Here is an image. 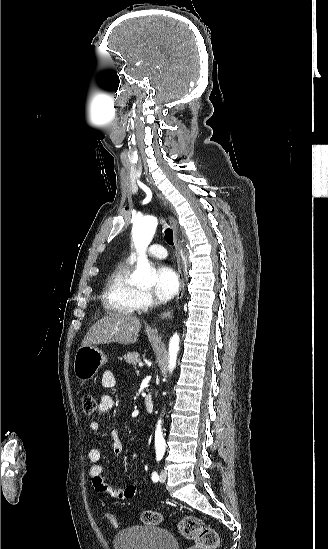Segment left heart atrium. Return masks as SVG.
<instances>
[{"label": "left heart atrium", "instance_id": "obj_1", "mask_svg": "<svg viewBox=\"0 0 328 549\" xmlns=\"http://www.w3.org/2000/svg\"><path fill=\"white\" fill-rule=\"evenodd\" d=\"M178 289V276L170 266L165 265L156 270L154 292L161 300L171 299Z\"/></svg>", "mask_w": 328, "mask_h": 549}]
</instances>
